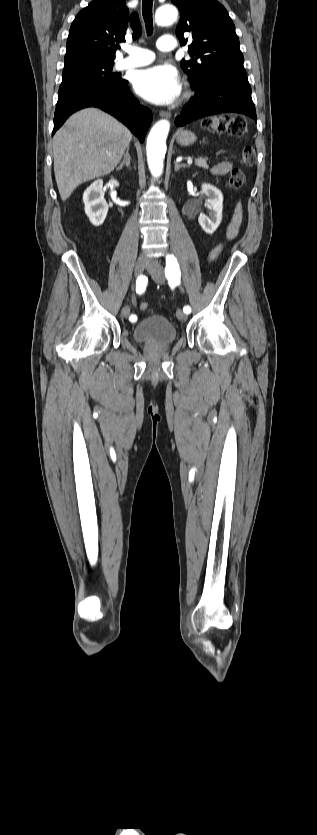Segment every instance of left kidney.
<instances>
[{"mask_svg":"<svg viewBox=\"0 0 317 835\" xmlns=\"http://www.w3.org/2000/svg\"><path fill=\"white\" fill-rule=\"evenodd\" d=\"M201 188L207 197L204 206L208 210V215L200 213L198 222L206 233L212 234L222 221L223 194L211 184H202Z\"/></svg>","mask_w":317,"mask_h":835,"instance_id":"5707ae66","label":"left kidney"}]
</instances>
